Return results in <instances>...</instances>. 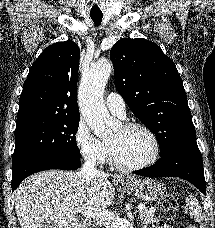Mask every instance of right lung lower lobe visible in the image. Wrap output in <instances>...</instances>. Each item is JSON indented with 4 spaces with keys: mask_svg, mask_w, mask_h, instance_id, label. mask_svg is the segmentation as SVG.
<instances>
[{
    "mask_svg": "<svg viewBox=\"0 0 215 228\" xmlns=\"http://www.w3.org/2000/svg\"><path fill=\"white\" fill-rule=\"evenodd\" d=\"M81 166L79 158H69L52 154L30 157L13 164L12 191L29 175L49 169L75 170Z\"/></svg>",
    "mask_w": 215,
    "mask_h": 228,
    "instance_id": "obj_1",
    "label": "right lung lower lobe"
}]
</instances>
